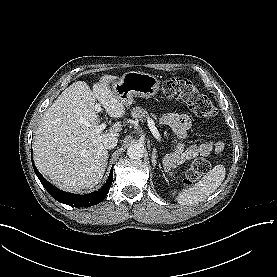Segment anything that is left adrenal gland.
I'll return each instance as SVG.
<instances>
[{
  "mask_svg": "<svg viewBox=\"0 0 277 277\" xmlns=\"http://www.w3.org/2000/svg\"><path fill=\"white\" fill-rule=\"evenodd\" d=\"M152 163L155 166L156 164V149H153V153H152Z\"/></svg>",
  "mask_w": 277,
  "mask_h": 277,
  "instance_id": "left-adrenal-gland-1",
  "label": "left adrenal gland"
}]
</instances>
